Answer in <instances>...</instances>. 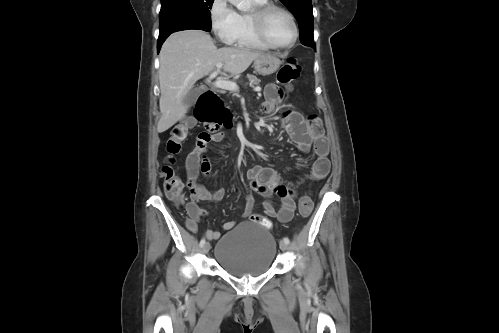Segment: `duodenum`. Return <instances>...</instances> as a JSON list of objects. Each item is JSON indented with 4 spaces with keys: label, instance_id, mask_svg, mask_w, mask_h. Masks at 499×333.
I'll return each instance as SVG.
<instances>
[{
    "label": "duodenum",
    "instance_id": "1",
    "mask_svg": "<svg viewBox=\"0 0 499 333\" xmlns=\"http://www.w3.org/2000/svg\"><path fill=\"white\" fill-rule=\"evenodd\" d=\"M211 91H207L202 94L196 104V116L203 120H212L217 116L218 109L214 106L212 102L209 101V94Z\"/></svg>",
    "mask_w": 499,
    "mask_h": 333
}]
</instances>
